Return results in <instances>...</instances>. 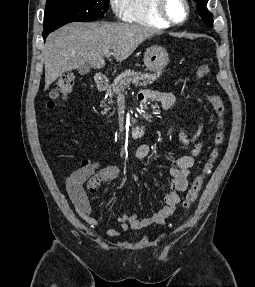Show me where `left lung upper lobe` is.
Masks as SVG:
<instances>
[{
    "label": "left lung upper lobe",
    "instance_id": "1",
    "mask_svg": "<svg viewBox=\"0 0 255 287\" xmlns=\"http://www.w3.org/2000/svg\"><path fill=\"white\" fill-rule=\"evenodd\" d=\"M197 3V10L205 22V24L212 28L213 15L207 10L206 5L208 0H195Z\"/></svg>",
    "mask_w": 255,
    "mask_h": 287
}]
</instances>
